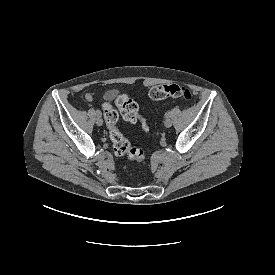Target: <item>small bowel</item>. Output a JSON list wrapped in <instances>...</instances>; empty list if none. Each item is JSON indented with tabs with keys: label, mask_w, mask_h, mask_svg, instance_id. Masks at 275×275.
Wrapping results in <instances>:
<instances>
[{
	"label": "small bowel",
	"mask_w": 275,
	"mask_h": 275,
	"mask_svg": "<svg viewBox=\"0 0 275 275\" xmlns=\"http://www.w3.org/2000/svg\"><path fill=\"white\" fill-rule=\"evenodd\" d=\"M87 99H89V100H90V99H91V97H90V96H87Z\"/></svg>",
	"instance_id": "1"
}]
</instances>
